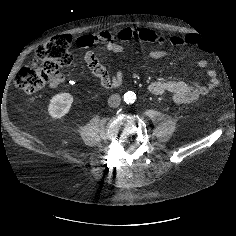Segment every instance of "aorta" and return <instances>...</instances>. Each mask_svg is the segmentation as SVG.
<instances>
[{
    "mask_svg": "<svg viewBox=\"0 0 236 236\" xmlns=\"http://www.w3.org/2000/svg\"><path fill=\"white\" fill-rule=\"evenodd\" d=\"M136 100V94L132 91H128L124 94V101L128 104L134 103Z\"/></svg>",
    "mask_w": 236,
    "mask_h": 236,
    "instance_id": "762f6f07",
    "label": "aorta"
}]
</instances>
